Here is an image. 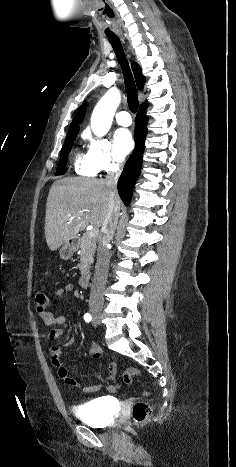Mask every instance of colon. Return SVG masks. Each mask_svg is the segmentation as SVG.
I'll return each instance as SVG.
<instances>
[{
    "mask_svg": "<svg viewBox=\"0 0 236 467\" xmlns=\"http://www.w3.org/2000/svg\"><path fill=\"white\" fill-rule=\"evenodd\" d=\"M35 302L39 313H46L51 307L52 301L49 294L45 291H37L35 294ZM96 357V356H95ZM141 371L137 368H128L123 374L125 384H131L133 378L140 376ZM152 414V407L146 402H136L132 407V418L136 424L143 423Z\"/></svg>",
    "mask_w": 236,
    "mask_h": 467,
    "instance_id": "colon-1",
    "label": "colon"
}]
</instances>
